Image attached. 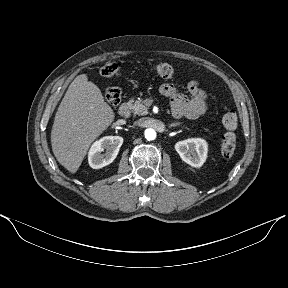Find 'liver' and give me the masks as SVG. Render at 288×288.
Here are the masks:
<instances>
[{
  "label": "liver",
  "mask_w": 288,
  "mask_h": 288,
  "mask_svg": "<svg viewBox=\"0 0 288 288\" xmlns=\"http://www.w3.org/2000/svg\"><path fill=\"white\" fill-rule=\"evenodd\" d=\"M114 118L100 89L88 81L86 74L78 75L58 107L51 130L52 151L57 161L75 173L90 145Z\"/></svg>",
  "instance_id": "obj_1"
}]
</instances>
